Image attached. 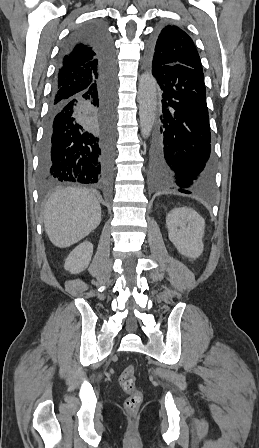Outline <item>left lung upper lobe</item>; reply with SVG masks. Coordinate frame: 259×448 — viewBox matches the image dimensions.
I'll list each match as a JSON object with an SVG mask.
<instances>
[{
  "mask_svg": "<svg viewBox=\"0 0 259 448\" xmlns=\"http://www.w3.org/2000/svg\"><path fill=\"white\" fill-rule=\"evenodd\" d=\"M148 60L154 66L180 64L203 72L191 37L176 25L163 26L149 46Z\"/></svg>",
  "mask_w": 259,
  "mask_h": 448,
  "instance_id": "obj_1",
  "label": "left lung upper lobe"
}]
</instances>
